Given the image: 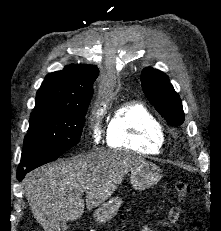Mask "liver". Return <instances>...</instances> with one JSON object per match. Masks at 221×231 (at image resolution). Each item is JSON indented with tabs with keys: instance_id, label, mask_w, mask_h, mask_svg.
Wrapping results in <instances>:
<instances>
[{
	"instance_id": "liver-1",
	"label": "liver",
	"mask_w": 221,
	"mask_h": 231,
	"mask_svg": "<svg viewBox=\"0 0 221 231\" xmlns=\"http://www.w3.org/2000/svg\"><path fill=\"white\" fill-rule=\"evenodd\" d=\"M143 162V158L125 152L99 151L58 160L30 172L24 186L34 218L44 231H60L61 224L84 213V191L87 209L98 207L113 194L125 174Z\"/></svg>"
}]
</instances>
